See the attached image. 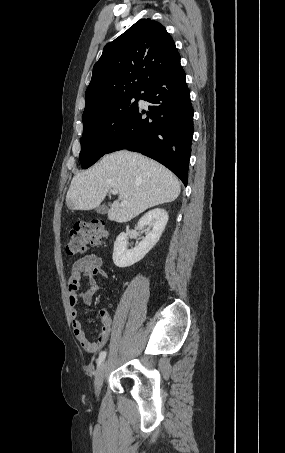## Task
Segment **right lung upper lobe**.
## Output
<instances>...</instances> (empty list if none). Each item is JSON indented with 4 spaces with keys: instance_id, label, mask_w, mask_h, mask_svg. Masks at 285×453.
<instances>
[{
    "instance_id": "cb5924a9",
    "label": "right lung upper lobe",
    "mask_w": 285,
    "mask_h": 453,
    "mask_svg": "<svg viewBox=\"0 0 285 453\" xmlns=\"http://www.w3.org/2000/svg\"><path fill=\"white\" fill-rule=\"evenodd\" d=\"M179 62V52L165 27L140 19L104 47L93 67L84 112L114 97L141 93L150 80Z\"/></svg>"
}]
</instances>
